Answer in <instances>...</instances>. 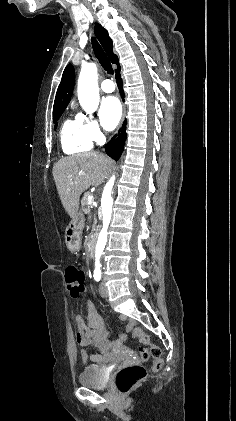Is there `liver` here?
I'll return each instance as SVG.
<instances>
[{
	"label": "liver",
	"mask_w": 236,
	"mask_h": 421,
	"mask_svg": "<svg viewBox=\"0 0 236 421\" xmlns=\"http://www.w3.org/2000/svg\"><path fill=\"white\" fill-rule=\"evenodd\" d=\"M112 168L113 160L99 152L63 156L55 162L53 176L56 188L71 219H75L78 213L80 194L91 184H102Z\"/></svg>",
	"instance_id": "obj_1"
}]
</instances>
